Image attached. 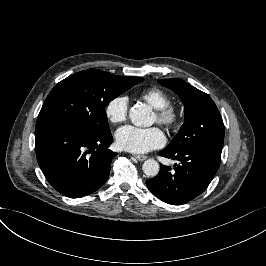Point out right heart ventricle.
Returning <instances> with one entry per match:
<instances>
[{"mask_svg":"<svg viewBox=\"0 0 266 266\" xmlns=\"http://www.w3.org/2000/svg\"><path fill=\"white\" fill-rule=\"evenodd\" d=\"M140 98L147 101L155 109L162 108L171 103L169 94L158 87H151L143 90L140 93Z\"/></svg>","mask_w":266,"mask_h":266,"instance_id":"right-heart-ventricle-1","label":"right heart ventricle"}]
</instances>
